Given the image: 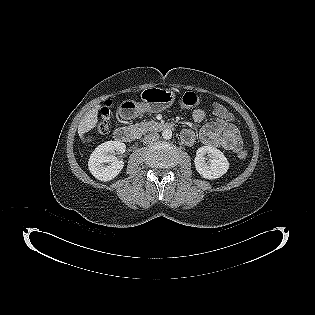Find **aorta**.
<instances>
[{"label": "aorta", "mask_w": 315, "mask_h": 315, "mask_svg": "<svg viewBox=\"0 0 315 315\" xmlns=\"http://www.w3.org/2000/svg\"><path fill=\"white\" fill-rule=\"evenodd\" d=\"M162 136L164 139L169 140L172 138V131L170 129H165L162 132Z\"/></svg>", "instance_id": "1"}]
</instances>
